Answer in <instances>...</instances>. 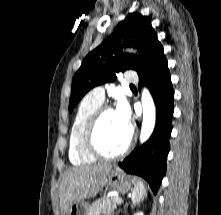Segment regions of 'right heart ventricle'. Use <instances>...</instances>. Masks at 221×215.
I'll return each instance as SVG.
<instances>
[{
  "mask_svg": "<svg viewBox=\"0 0 221 215\" xmlns=\"http://www.w3.org/2000/svg\"><path fill=\"white\" fill-rule=\"evenodd\" d=\"M101 105L102 102L88 94L82 99L76 110L69 133L68 144V157L74 165H86L96 160L85 149L83 137L90 118Z\"/></svg>",
  "mask_w": 221,
  "mask_h": 215,
  "instance_id": "obj_1",
  "label": "right heart ventricle"
}]
</instances>
